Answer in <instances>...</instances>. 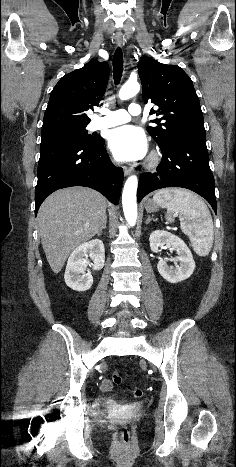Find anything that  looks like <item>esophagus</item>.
Listing matches in <instances>:
<instances>
[{"mask_svg": "<svg viewBox=\"0 0 236 467\" xmlns=\"http://www.w3.org/2000/svg\"><path fill=\"white\" fill-rule=\"evenodd\" d=\"M116 45L118 47H122L124 45V39L122 37H116ZM124 174L126 176L130 175L132 173V168L124 166L123 167Z\"/></svg>", "mask_w": 236, "mask_h": 467, "instance_id": "1", "label": "esophagus"}]
</instances>
